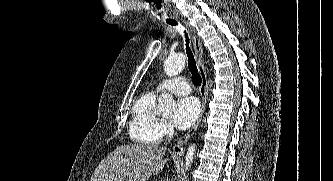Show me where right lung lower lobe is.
Instances as JSON below:
<instances>
[{
    "instance_id": "right-lung-lower-lobe-1",
    "label": "right lung lower lobe",
    "mask_w": 333,
    "mask_h": 181,
    "mask_svg": "<svg viewBox=\"0 0 333 181\" xmlns=\"http://www.w3.org/2000/svg\"><path fill=\"white\" fill-rule=\"evenodd\" d=\"M175 150H176V151H178L179 149H178V148H176Z\"/></svg>"
}]
</instances>
